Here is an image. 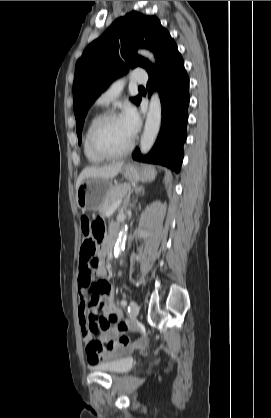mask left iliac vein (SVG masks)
I'll return each instance as SVG.
<instances>
[{"mask_svg":"<svg viewBox=\"0 0 271 418\" xmlns=\"http://www.w3.org/2000/svg\"><path fill=\"white\" fill-rule=\"evenodd\" d=\"M139 313V306L135 301L130 302V316L132 319H135Z\"/></svg>","mask_w":271,"mask_h":418,"instance_id":"left-iliac-vein-1","label":"left iliac vein"}]
</instances>
